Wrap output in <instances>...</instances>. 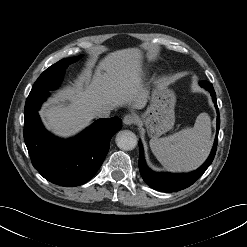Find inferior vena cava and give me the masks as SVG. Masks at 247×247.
<instances>
[{"label":"inferior vena cava","mask_w":247,"mask_h":247,"mask_svg":"<svg viewBox=\"0 0 247 247\" xmlns=\"http://www.w3.org/2000/svg\"><path fill=\"white\" fill-rule=\"evenodd\" d=\"M111 110V108H100L95 112V115L99 118H108Z\"/></svg>","instance_id":"1"}]
</instances>
